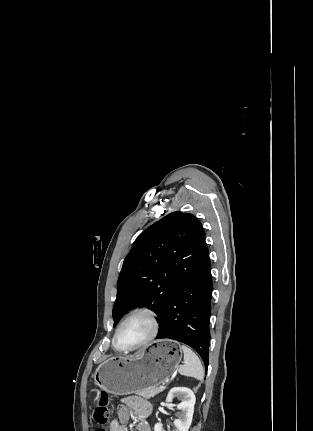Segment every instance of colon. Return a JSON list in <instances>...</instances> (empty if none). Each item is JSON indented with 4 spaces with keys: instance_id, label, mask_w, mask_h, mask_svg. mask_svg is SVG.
I'll use <instances>...</instances> for the list:
<instances>
[{
    "instance_id": "1",
    "label": "colon",
    "mask_w": 313,
    "mask_h": 431,
    "mask_svg": "<svg viewBox=\"0 0 313 431\" xmlns=\"http://www.w3.org/2000/svg\"><path fill=\"white\" fill-rule=\"evenodd\" d=\"M109 396L106 392L101 391L98 393V403L94 411V420L101 426L94 431H106L103 427L109 419Z\"/></svg>"
}]
</instances>
